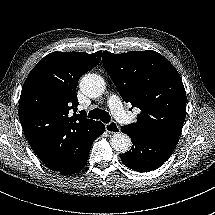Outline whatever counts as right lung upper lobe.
Here are the masks:
<instances>
[{"label":"right lung upper lobe","mask_w":215,"mask_h":215,"mask_svg":"<svg viewBox=\"0 0 215 215\" xmlns=\"http://www.w3.org/2000/svg\"><path fill=\"white\" fill-rule=\"evenodd\" d=\"M101 60V51L53 52L29 73L19 100V119L25 136L39 159L49 168L64 164L69 140L94 120L86 114L69 115L77 108L79 78Z\"/></svg>","instance_id":"1"}]
</instances>
